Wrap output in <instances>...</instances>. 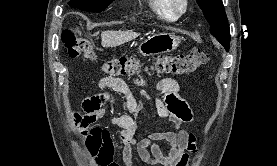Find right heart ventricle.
<instances>
[{
    "instance_id": "1",
    "label": "right heart ventricle",
    "mask_w": 277,
    "mask_h": 166,
    "mask_svg": "<svg viewBox=\"0 0 277 166\" xmlns=\"http://www.w3.org/2000/svg\"><path fill=\"white\" fill-rule=\"evenodd\" d=\"M149 6L153 12L163 20L173 21L176 19V15L170 10L167 0H149Z\"/></svg>"
}]
</instances>
